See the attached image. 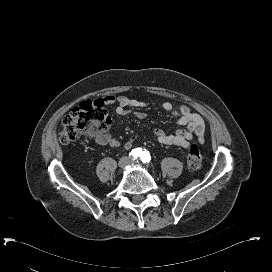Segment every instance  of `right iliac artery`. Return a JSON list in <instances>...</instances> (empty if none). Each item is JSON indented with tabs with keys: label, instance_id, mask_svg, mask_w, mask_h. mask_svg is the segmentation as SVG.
Segmentation results:
<instances>
[{
	"label": "right iliac artery",
	"instance_id": "1",
	"mask_svg": "<svg viewBox=\"0 0 272 272\" xmlns=\"http://www.w3.org/2000/svg\"><path fill=\"white\" fill-rule=\"evenodd\" d=\"M141 154V148H135L131 151V153L129 154V156L135 160L137 159Z\"/></svg>",
	"mask_w": 272,
	"mask_h": 272
}]
</instances>
